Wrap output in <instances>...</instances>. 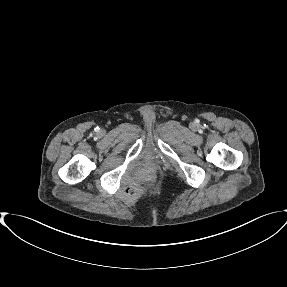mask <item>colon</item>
Instances as JSON below:
<instances>
[{
  "label": "colon",
  "mask_w": 287,
  "mask_h": 287,
  "mask_svg": "<svg viewBox=\"0 0 287 287\" xmlns=\"http://www.w3.org/2000/svg\"><path fill=\"white\" fill-rule=\"evenodd\" d=\"M125 192L129 198H134L136 196L135 190L131 186H126Z\"/></svg>",
  "instance_id": "colon-1"
}]
</instances>
